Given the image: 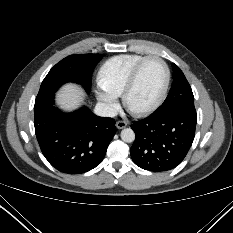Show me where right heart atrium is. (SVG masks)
Returning <instances> with one entry per match:
<instances>
[{"label":"right heart atrium","instance_id":"1","mask_svg":"<svg viewBox=\"0 0 233 233\" xmlns=\"http://www.w3.org/2000/svg\"><path fill=\"white\" fill-rule=\"evenodd\" d=\"M96 97L103 104L104 108L109 113H113L117 110L118 108L117 95L103 90V91H97Z\"/></svg>","mask_w":233,"mask_h":233}]
</instances>
